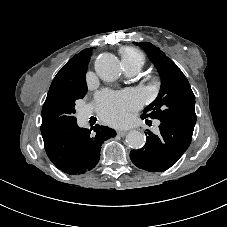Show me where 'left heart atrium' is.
<instances>
[{
  "mask_svg": "<svg viewBox=\"0 0 227 227\" xmlns=\"http://www.w3.org/2000/svg\"><path fill=\"white\" fill-rule=\"evenodd\" d=\"M97 99L99 115L105 122L113 125L124 123L128 112L140 107L143 102L142 96L135 91L101 92Z\"/></svg>",
  "mask_w": 227,
  "mask_h": 227,
  "instance_id": "1",
  "label": "left heart atrium"
}]
</instances>
